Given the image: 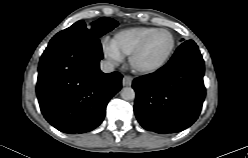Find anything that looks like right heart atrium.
Wrapping results in <instances>:
<instances>
[{
    "label": "right heart atrium",
    "mask_w": 248,
    "mask_h": 158,
    "mask_svg": "<svg viewBox=\"0 0 248 158\" xmlns=\"http://www.w3.org/2000/svg\"><path fill=\"white\" fill-rule=\"evenodd\" d=\"M101 49L104 57L113 64L122 62L123 56L108 39L103 40Z\"/></svg>",
    "instance_id": "right-heart-atrium-1"
}]
</instances>
